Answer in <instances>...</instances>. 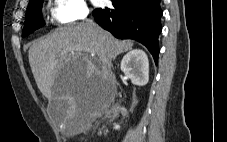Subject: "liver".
Segmentation results:
<instances>
[{
    "instance_id": "1",
    "label": "liver",
    "mask_w": 227,
    "mask_h": 142,
    "mask_svg": "<svg viewBox=\"0 0 227 142\" xmlns=\"http://www.w3.org/2000/svg\"><path fill=\"white\" fill-rule=\"evenodd\" d=\"M132 46V41L117 40L99 26L94 30L80 23L57 28L30 47L29 63L40 92L49 102L61 99L69 104L70 120L63 129L66 134L72 119L78 117L92 83L106 82L113 87L116 81L111 60L131 50ZM91 56L97 57L102 71ZM70 61H83V66H70ZM59 73H81V78H59Z\"/></svg>"
}]
</instances>
